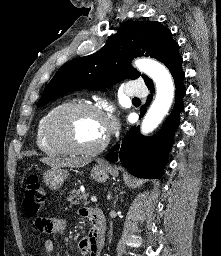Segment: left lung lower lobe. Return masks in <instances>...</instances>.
<instances>
[{
    "instance_id": "1",
    "label": "left lung lower lobe",
    "mask_w": 221,
    "mask_h": 256,
    "mask_svg": "<svg viewBox=\"0 0 221 256\" xmlns=\"http://www.w3.org/2000/svg\"><path fill=\"white\" fill-rule=\"evenodd\" d=\"M176 98L173 111L163 124L161 130L153 137H144L140 134L139 128L133 126L124 137L120 151L119 160L128 168L130 173L139 178H161L165 165L167 164L168 152L173 144V135L179 125V113L184 109L183 97L186 89L183 85L185 74L182 69L173 74ZM151 92L154 91L153 83L148 86ZM152 100V94L148 96L146 104ZM141 117L145 113L143 106ZM119 146H115L117 150ZM107 160L116 162L117 152L110 153Z\"/></svg>"
}]
</instances>
